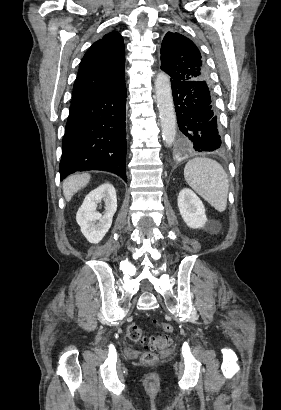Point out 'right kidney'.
<instances>
[{"instance_id":"1","label":"right kidney","mask_w":281,"mask_h":410,"mask_svg":"<svg viewBox=\"0 0 281 410\" xmlns=\"http://www.w3.org/2000/svg\"><path fill=\"white\" fill-rule=\"evenodd\" d=\"M104 202L105 212H97L98 203ZM117 210L116 190L106 182L92 190L84 199L76 214L81 232L90 243L100 242L112 225Z\"/></svg>"}]
</instances>
